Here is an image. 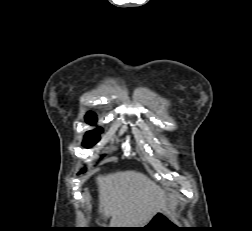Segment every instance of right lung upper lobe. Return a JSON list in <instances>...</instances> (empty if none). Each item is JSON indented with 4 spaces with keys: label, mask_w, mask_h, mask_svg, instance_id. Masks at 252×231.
Segmentation results:
<instances>
[{
    "label": "right lung upper lobe",
    "mask_w": 252,
    "mask_h": 231,
    "mask_svg": "<svg viewBox=\"0 0 252 231\" xmlns=\"http://www.w3.org/2000/svg\"><path fill=\"white\" fill-rule=\"evenodd\" d=\"M94 115H95V113H93V112H88L86 116H94Z\"/></svg>",
    "instance_id": "cb5924a9"
}]
</instances>
